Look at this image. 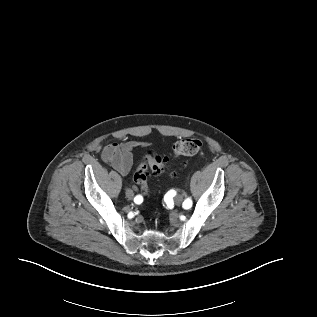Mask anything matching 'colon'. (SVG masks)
<instances>
[{
	"mask_svg": "<svg viewBox=\"0 0 317 317\" xmlns=\"http://www.w3.org/2000/svg\"><path fill=\"white\" fill-rule=\"evenodd\" d=\"M201 147V141L197 138H187L177 141L172 148L173 155L191 156L196 154ZM148 169L155 174H161L169 169L168 161L152 151H147L142 162L134 173V182L138 184L144 192H148Z\"/></svg>",
	"mask_w": 317,
	"mask_h": 317,
	"instance_id": "colon-1",
	"label": "colon"
}]
</instances>
